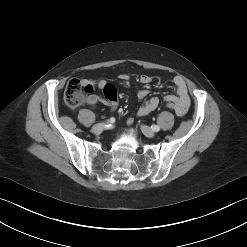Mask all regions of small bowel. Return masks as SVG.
Returning a JSON list of instances; mask_svg holds the SVG:
<instances>
[{
    "mask_svg": "<svg viewBox=\"0 0 247 247\" xmlns=\"http://www.w3.org/2000/svg\"><path fill=\"white\" fill-rule=\"evenodd\" d=\"M121 80H128L127 75H121ZM152 81V78L148 75H142L140 77V82L143 84H148ZM82 84L88 87L90 90L93 88H99L103 92V96H98L95 94H90L86 98V102L90 107H95L99 102L109 106L114 110L118 105L117 90L114 85L107 82L106 80H92L83 79ZM173 84L175 86L176 94L166 95L164 97L165 101H172L176 104V114L178 116H184L188 111L190 106V97L188 94V88L185 80L181 76H175L173 78ZM149 94L147 89H141L138 91V98L140 100L145 99ZM159 101L157 98L152 97L145 101L138 109L137 116L143 117L149 115L158 107ZM133 123V118L128 119V124Z\"/></svg>",
    "mask_w": 247,
    "mask_h": 247,
    "instance_id": "small-bowel-1",
    "label": "small bowel"
}]
</instances>
